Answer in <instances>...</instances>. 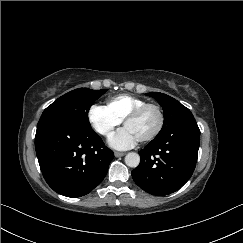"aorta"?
<instances>
[{
	"instance_id": "1",
	"label": "aorta",
	"mask_w": 243,
	"mask_h": 243,
	"mask_svg": "<svg viewBox=\"0 0 243 243\" xmlns=\"http://www.w3.org/2000/svg\"><path fill=\"white\" fill-rule=\"evenodd\" d=\"M125 163L129 167H137L140 163V156L135 152H130L125 156Z\"/></svg>"
}]
</instances>
